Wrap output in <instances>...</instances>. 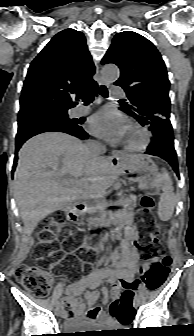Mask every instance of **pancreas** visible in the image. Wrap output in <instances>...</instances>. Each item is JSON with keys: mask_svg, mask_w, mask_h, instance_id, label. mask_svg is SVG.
<instances>
[{"mask_svg": "<svg viewBox=\"0 0 194 336\" xmlns=\"http://www.w3.org/2000/svg\"><path fill=\"white\" fill-rule=\"evenodd\" d=\"M129 189V194L128 195H123L122 199L120 200H112L111 205L112 206H107L106 203H103L102 206L107 209H112L116 211H121L122 213H125L126 211H131L133 207L136 205V197L130 194H135L136 190L134 187H130ZM105 210L100 209L99 211L96 212L97 218H99L96 221V224L98 226H101L102 224L105 223L104 215Z\"/></svg>", "mask_w": 194, "mask_h": 336, "instance_id": "1", "label": "pancreas"}]
</instances>
